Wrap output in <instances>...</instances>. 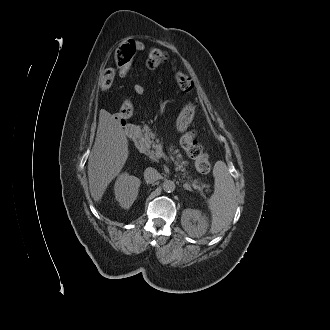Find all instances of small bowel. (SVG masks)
Wrapping results in <instances>:
<instances>
[{
	"label": "small bowel",
	"instance_id": "small-bowel-1",
	"mask_svg": "<svg viewBox=\"0 0 330 330\" xmlns=\"http://www.w3.org/2000/svg\"><path fill=\"white\" fill-rule=\"evenodd\" d=\"M133 42L135 44L136 51L143 50V48H144L143 43H141L139 41H136V42L133 41ZM131 67H132V62L125 65V66H119L118 71H117V75L120 78L126 77L130 73ZM134 91L137 95H142L145 92V88L142 84L137 83V84L134 85ZM132 112H133V110H132ZM118 114H119V117L122 118V120H126L127 118L130 117V115L128 114L127 109H125L123 105L120 107V110H119Z\"/></svg>",
	"mask_w": 330,
	"mask_h": 330
}]
</instances>
